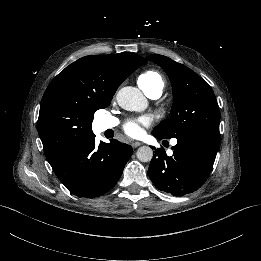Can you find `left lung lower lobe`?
Instances as JSON below:
<instances>
[{"instance_id": "0a47b994", "label": "left lung lower lobe", "mask_w": 261, "mask_h": 261, "mask_svg": "<svg viewBox=\"0 0 261 261\" xmlns=\"http://www.w3.org/2000/svg\"><path fill=\"white\" fill-rule=\"evenodd\" d=\"M219 140V135L195 130L177 138L172 156H167L163 148L156 149L148 169L155 187L174 196L198 190L210 175Z\"/></svg>"}]
</instances>
